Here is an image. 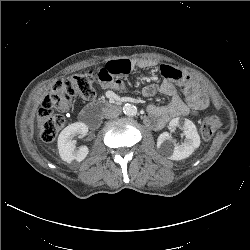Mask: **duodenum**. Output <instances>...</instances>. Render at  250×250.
<instances>
[{
  "label": "duodenum",
  "mask_w": 250,
  "mask_h": 250,
  "mask_svg": "<svg viewBox=\"0 0 250 250\" xmlns=\"http://www.w3.org/2000/svg\"><path fill=\"white\" fill-rule=\"evenodd\" d=\"M119 106L115 103L98 101L86 107L80 114L81 121L90 128H96L105 112L118 110Z\"/></svg>",
  "instance_id": "duodenum-1"
}]
</instances>
